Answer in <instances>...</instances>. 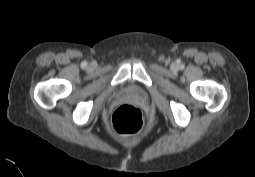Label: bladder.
<instances>
[{"mask_svg": "<svg viewBox=\"0 0 255 177\" xmlns=\"http://www.w3.org/2000/svg\"><path fill=\"white\" fill-rule=\"evenodd\" d=\"M123 93L125 95H130V96H134L137 98H143V96H144V90L141 87L136 86V85L127 86L124 89Z\"/></svg>", "mask_w": 255, "mask_h": 177, "instance_id": "bladder-1", "label": "bladder"}]
</instances>
